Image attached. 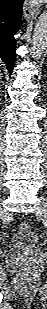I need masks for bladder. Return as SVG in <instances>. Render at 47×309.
I'll use <instances>...</instances> for the list:
<instances>
[{"instance_id":"obj_1","label":"bladder","mask_w":47,"mask_h":309,"mask_svg":"<svg viewBox=\"0 0 47 309\" xmlns=\"http://www.w3.org/2000/svg\"><path fill=\"white\" fill-rule=\"evenodd\" d=\"M41 243V238L27 229L15 234L9 242V246L16 250L28 251L39 247Z\"/></svg>"}]
</instances>
